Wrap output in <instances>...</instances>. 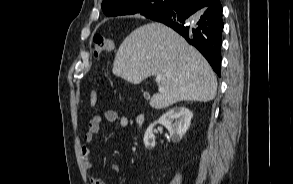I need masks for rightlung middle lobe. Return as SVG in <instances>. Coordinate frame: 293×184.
I'll return each instance as SVG.
<instances>
[{"mask_svg":"<svg viewBox=\"0 0 293 184\" xmlns=\"http://www.w3.org/2000/svg\"><path fill=\"white\" fill-rule=\"evenodd\" d=\"M165 6L164 2H159L157 4H154L150 10L146 11V15H148V17L153 18L154 16H156Z\"/></svg>","mask_w":293,"mask_h":184,"instance_id":"obj_1","label":"right lung middle lobe"}]
</instances>
